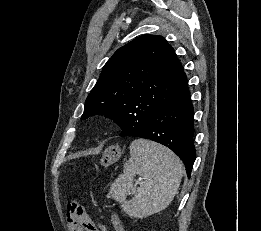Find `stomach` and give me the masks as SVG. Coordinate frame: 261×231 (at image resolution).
<instances>
[{
  "mask_svg": "<svg viewBox=\"0 0 261 231\" xmlns=\"http://www.w3.org/2000/svg\"><path fill=\"white\" fill-rule=\"evenodd\" d=\"M122 150L118 145H112L109 148H107L102 156L101 159V165L107 167L109 165H112L113 163L117 162L121 155Z\"/></svg>",
  "mask_w": 261,
  "mask_h": 231,
  "instance_id": "stomach-1",
  "label": "stomach"
}]
</instances>
